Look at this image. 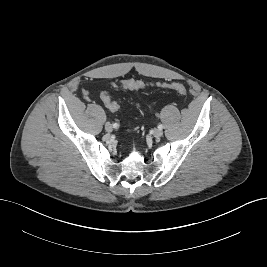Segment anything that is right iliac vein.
<instances>
[{"instance_id": "63e3f726", "label": "right iliac vein", "mask_w": 267, "mask_h": 267, "mask_svg": "<svg viewBox=\"0 0 267 267\" xmlns=\"http://www.w3.org/2000/svg\"><path fill=\"white\" fill-rule=\"evenodd\" d=\"M105 130L107 132H111L113 130L112 124L110 122H106V124H105Z\"/></svg>"}]
</instances>
